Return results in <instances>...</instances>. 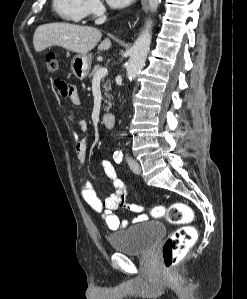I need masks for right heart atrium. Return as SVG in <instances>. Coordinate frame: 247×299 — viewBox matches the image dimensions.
<instances>
[{
    "mask_svg": "<svg viewBox=\"0 0 247 299\" xmlns=\"http://www.w3.org/2000/svg\"><path fill=\"white\" fill-rule=\"evenodd\" d=\"M87 1V12L90 15H100L103 10L102 3L100 0H86Z\"/></svg>",
    "mask_w": 247,
    "mask_h": 299,
    "instance_id": "1",
    "label": "right heart atrium"
}]
</instances>
